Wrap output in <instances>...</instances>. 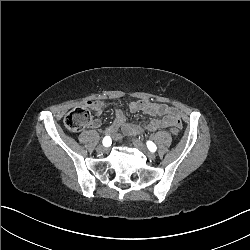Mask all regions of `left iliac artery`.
<instances>
[{
  "label": "left iliac artery",
  "instance_id": "left-iliac-artery-1",
  "mask_svg": "<svg viewBox=\"0 0 250 250\" xmlns=\"http://www.w3.org/2000/svg\"><path fill=\"white\" fill-rule=\"evenodd\" d=\"M147 147L151 152H155L157 147L152 141H147Z\"/></svg>",
  "mask_w": 250,
  "mask_h": 250
}]
</instances>
